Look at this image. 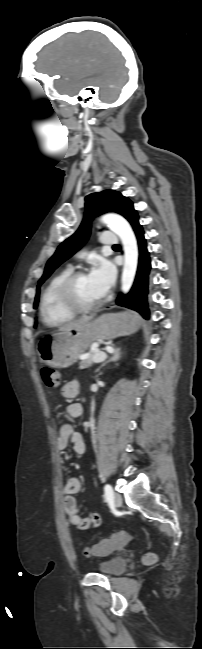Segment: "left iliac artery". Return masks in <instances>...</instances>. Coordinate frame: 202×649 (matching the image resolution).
Segmentation results:
<instances>
[{
	"mask_svg": "<svg viewBox=\"0 0 202 649\" xmlns=\"http://www.w3.org/2000/svg\"><path fill=\"white\" fill-rule=\"evenodd\" d=\"M104 490H105V498L107 500L112 499L113 498L112 487L109 484H106L105 487H104Z\"/></svg>",
	"mask_w": 202,
	"mask_h": 649,
	"instance_id": "1",
	"label": "left iliac artery"
}]
</instances>
